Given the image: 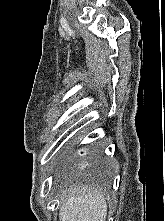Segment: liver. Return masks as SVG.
Segmentation results:
<instances>
[{"label": "liver", "mask_w": 165, "mask_h": 221, "mask_svg": "<svg viewBox=\"0 0 165 221\" xmlns=\"http://www.w3.org/2000/svg\"><path fill=\"white\" fill-rule=\"evenodd\" d=\"M106 215V201L97 191L72 189L61 199L60 221H105Z\"/></svg>", "instance_id": "liver-1"}]
</instances>
